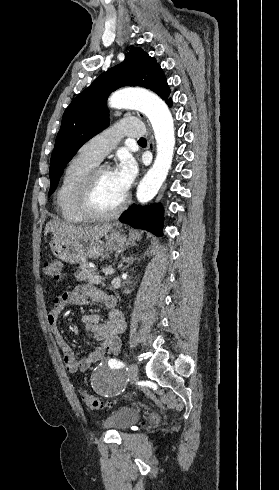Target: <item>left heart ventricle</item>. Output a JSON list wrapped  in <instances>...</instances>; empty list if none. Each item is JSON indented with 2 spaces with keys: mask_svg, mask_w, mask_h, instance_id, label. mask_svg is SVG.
<instances>
[{
  "mask_svg": "<svg viewBox=\"0 0 279 490\" xmlns=\"http://www.w3.org/2000/svg\"><path fill=\"white\" fill-rule=\"evenodd\" d=\"M124 197H122L114 182L112 171H106L100 175L98 182V190L96 201L100 209L110 211L119 205Z\"/></svg>",
  "mask_w": 279,
  "mask_h": 490,
  "instance_id": "left-heart-ventricle-1",
  "label": "left heart ventricle"
}]
</instances>
